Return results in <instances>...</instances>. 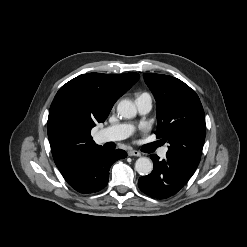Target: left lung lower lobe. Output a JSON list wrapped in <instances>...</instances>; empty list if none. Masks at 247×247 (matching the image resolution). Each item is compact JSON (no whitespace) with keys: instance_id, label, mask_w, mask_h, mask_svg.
I'll use <instances>...</instances> for the list:
<instances>
[{"instance_id":"left-lung-lower-lobe-1","label":"left lung lower lobe","mask_w":247,"mask_h":247,"mask_svg":"<svg viewBox=\"0 0 247 247\" xmlns=\"http://www.w3.org/2000/svg\"><path fill=\"white\" fill-rule=\"evenodd\" d=\"M153 159V171L147 176L139 178L138 186L142 192L153 198H167L179 191L196 168L180 158L169 156L160 161L155 154Z\"/></svg>"}]
</instances>
